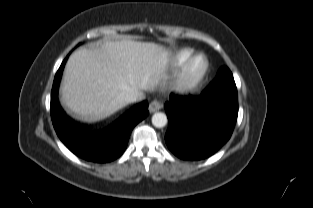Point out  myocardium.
I'll use <instances>...</instances> for the list:
<instances>
[{
	"instance_id": "obj_1",
	"label": "myocardium",
	"mask_w": 313,
	"mask_h": 208,
	"mask_svg": "<svg viewBox=\"0 0 313 208\" xmlns=\"http://www.w3.org/2000/svg\"><path fill=\"white\" fill-rule=\"evenodd\" d=\"M208 67V59L204 54L190 56L175 74L171 82L172 90L181 94L194 92L202 84Z\"/></svg>"
}]
</instances>
